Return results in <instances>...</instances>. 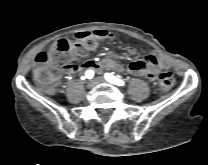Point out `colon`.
Masks as SVG:
<instances>
[{"mask_svg": "<svg viewBox=\"0 0 208 165\" xmlns=\"http://www.w3.org/2000/svg\"><path fill=\"white\" fill-rule=\"evenodd\" d=\"M100 38L91 32L78 33L73 40L61 39L51 49L42 51L35 57L33 71L34 82L45 92L53 93L58 86L61 66L65 62L77 59L93 50ZM175 83L174 74L165 71L159 76V86L163 93L170 91Z\"/></svg>", "mask_w": 208, "mask_h": 165, "instance_id": "obj_1", "label": "colon"}]
</instances>
